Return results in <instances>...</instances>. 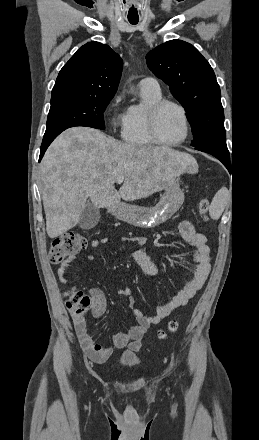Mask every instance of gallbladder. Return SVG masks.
Listing matches in <instances>:
<instances>
[{"mask_svg":"<svg viewBox=\"0 0 259 440\" xmlns=\"http://www.w3.org/2000/svg\"><path fill=\"white\" fill-rule=\"evenodd\" d=\"M100 211L92 203H87L80 215L78 225L81 229L94 228L100 221Z\"/></svg>","mask_w":259,"mask_h":440,"instance_id":"gallbladder-1","label":"gallbladder"}]
</instances>
